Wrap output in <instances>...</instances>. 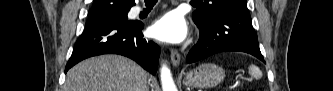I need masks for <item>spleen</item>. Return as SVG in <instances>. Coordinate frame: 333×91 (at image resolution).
<instances>
[{
  "label": "spleen",
  "instance_id": "spleen-1",
  "mask_svg": "<svg viewBox=\"0 0 333 91\" xmlns=\"http://www.w3.org/2000/svg\"><path fill=\"white\" fill-rule=\"evenodd\" d=\"M249 74L255 79H260L262 77L260 69L253 64L249 66Z\"/></svg>",
  "mask_w": 333,
  "mask_h": 91
}]
</instances>
